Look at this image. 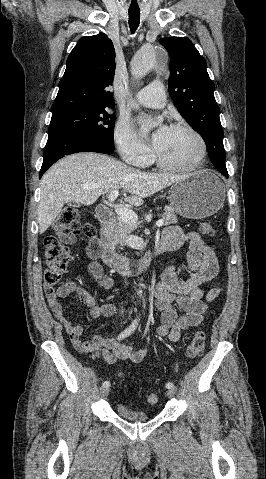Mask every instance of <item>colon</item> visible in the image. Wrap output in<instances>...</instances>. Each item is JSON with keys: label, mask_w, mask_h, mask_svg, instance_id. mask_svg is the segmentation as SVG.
I'll return each mask as SVG.
<instances>
[{"label": "colon", "mask_w": 266, "mask_h": 479, "mask_svg": "<svg viewBox=\"0 0 266 479\" xmlns=\"http://www.w3.org/2000/svg\"><path fill=\"white\" fill-rule=\"evenodd\" d=\"M79 210L75 207H66L58 216L54 231L44 240L45 272L44 285L47 292H52L58 285L62 274L65 272L70 256L68 248L64 245L62 235L70 234L79 239H86L91 244L96 243V230L92 224L79 220ZM199 231L207 236H213L214 227L209 220H202L198 226ZM206 342V335L203 331H197L190 340L187 347V356L197 358L203 354ZM146 402L154 405L158 402L155 393L148 394Z\"/></svg>", "instance_id": "obj_1"}]
</instances>
